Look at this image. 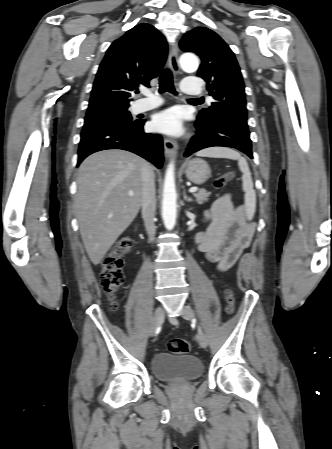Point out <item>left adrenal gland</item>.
<instances>
[{"label": "left adrenal gland", "instance_id": "obj_1", "mask_svg": "<svg viewBox=\"0 0 332 449\" xmlns=\"http://www.w3.org/2000/svg\"><path fill=\"white\" fill-rule=\"evenodd\" d=\"M184 200L185 201H187V202H192L193 201V199L192 198H190V197H187L186 195H185V191H184Z\"/></svg>", "mask_w": 332, "mask_h": 449}]
</instances>
